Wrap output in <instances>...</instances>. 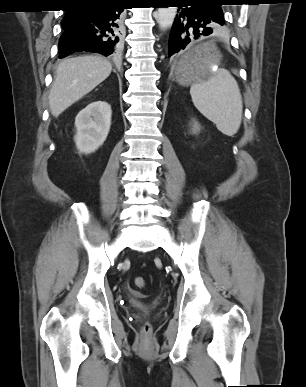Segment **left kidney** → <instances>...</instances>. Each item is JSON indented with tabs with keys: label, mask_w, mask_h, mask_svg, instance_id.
Masks as SVG:
<instances>
[{
	"label": "left kidney",
	"mask_w": 306,
	"mask_h": 387,
	"mask_svg": "<svg viewBox=\"0 0 306 387\" xmlns=\"http://www.w3.org/2000/svg\"><path fill=\"white\" fill-rule=\"evenodd\" d=\"M200 129V126L198 124V122L194 121V124H193V133H196L198 130Z\"/></svg>",
	"instance_id": "5707ae66"
}]
</instances>
